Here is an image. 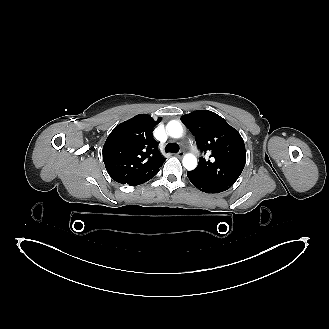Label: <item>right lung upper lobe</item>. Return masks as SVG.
I'll return each mask as SVG.
<instances>
[{"mask_svg":"<svg viewBox=\"0 0 329 329\" xmlns=\"http://www.w3.org/2000/svg\"><path fill=\"white\" fill-rule=\"evenodd\" d=\"M160 121L139 114L114 128L103 146V161L112 179L138 185L159 170L165 158L152 132Z\"/></svg>","mask_w":329,"mask_h":329,"instance_id":"obj_1","label":"right lung upper lobe"}]
</instances>
